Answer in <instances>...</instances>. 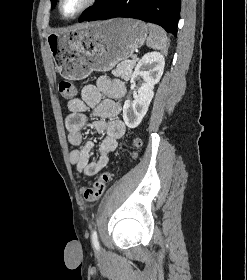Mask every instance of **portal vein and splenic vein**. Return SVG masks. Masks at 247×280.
<instances>
[{
  "instance_id": "obj_1",
  "label": "portal vein and splenic vein",
  "mask_w": 247,
  "mask_h": 280,
  "mask_svg": "<svg viewBox=\"0 0 247 280\" xmlns=\"http://www.w3.org/2000/svg\"><path fill=\"white\" fill-rule=\"evenodd\" d=\"M132 59H137V55L134 54V55L132 56Z\"/></svg>"
}]
</instances>
